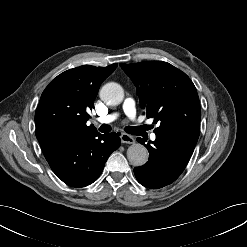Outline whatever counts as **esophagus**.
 <instances>
[{
  "instance_id": "esophagus-1",
  "label": "esophagus",
  "mask_w": 247,
  "mask_h": 247,
  "mask_svg": "<svg viewBox=\"0 0 247 247\" xmlns=\"http://www.w3.org/2000/svg\"><path fill=\"white\" fill-rule=\"evenodd\" d=\"M120 138H121L122 143H126V144H134L135 143L134 137L129 135V134L122 133L120 135Z\"/></svg>"
}]
</instances>
